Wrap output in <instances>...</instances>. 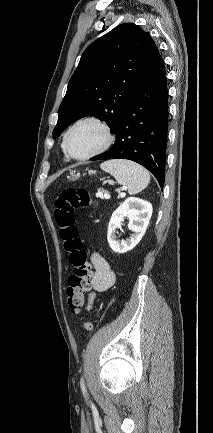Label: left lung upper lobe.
<instances>
[{"label":"left lung upper lobe","instance_id":"5c2ea615","mask_svg":"<svg viewBox=\"0 0 213 433\" xmlns=\"http://www.w3.org/2000/svg\"><path fill=\"white\" fill-rule=\"evenodd\" d=\"M158 54L150 34L133 23L121 24L89 45L69 80L53 136L91 115L100 117L114 131Z\"/></svg>","mask_w":213,"mask_h":433}]
</instances>
